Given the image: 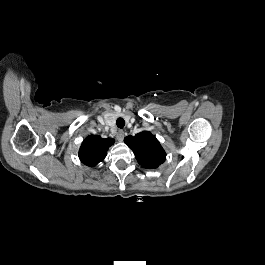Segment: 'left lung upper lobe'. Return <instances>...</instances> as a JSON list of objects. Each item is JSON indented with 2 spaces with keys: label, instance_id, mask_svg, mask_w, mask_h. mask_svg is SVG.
I'll use <instances>...</instances> for the list:
<instances>
[{
  "label": "left lung upper lobe",
  "instance_id": "5c2ea615",
  "mask_svg": "<svg viewBox=\"0 0 265 265\" xmlns=\"http://www.w3.org/2000/svg\"><path fill=\"white\" fill-rule=\"evenodd\" d=\"M124 142L135 154L138 163L147 169H155L166 159V153L159 141L148 131L127 136Z\"/></svg>",
  "mask_w": 265,
  "mask_h": 265
}]
</instances>
